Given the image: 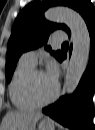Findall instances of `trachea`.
<instances>
[{
    "label": "trachea",
    "mask_w": 95,
    "mask_h": 130,
    "mask_svg": "<svg viewBox=\"0 0 95 130\" xmlns=\"http://www.w3.org/2000/svg\"><path fill=\"white\" fill-rule=\"evenodd\" d=\"M68 46H69L68 42H64V43L62 44V47H68Z\"/></svg>",
    "instance_id": "3493384b"
}]
</instances>
